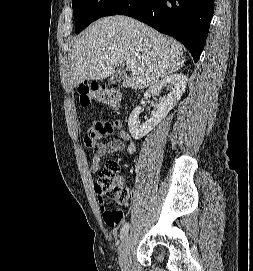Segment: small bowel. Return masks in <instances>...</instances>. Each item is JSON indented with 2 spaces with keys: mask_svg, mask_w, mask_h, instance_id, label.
I'll use <instances>...</instances> for the list:
<instances>
[{
  "mask_svg": "<svg viewBox=\"0 0 253 271\" xmlns=\"http://www.w3.org/2000/svg\"><path fill=\"white\" fill-rule=\"evenodd\" d=\"M118 131L119 138L102 143L103 136ZM127 143L125 146L124 143ZM87 148L93 151L90 163V170L95 173L99 170L101 160L104 156L118 153L125 150L126 154L132 155L136 150V144L131 134L124 129L123 123L119 120L110 122L106 120H95L92 122L87 134L84 137Z\"/></svg>",
  "mask_w": 253,
  "mask_h": 271,
  "instance_id": "1",
  "label": "small bowel"
}]
</instances>
